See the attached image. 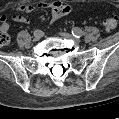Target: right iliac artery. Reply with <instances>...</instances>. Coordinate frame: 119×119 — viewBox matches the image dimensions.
<instances>
[{
	"label": "right iliac artery",
	"mask_w": 119,
	"mask_h": 119,
	"mask_svg": "<svg viewBox=\"0 0 119 119\" xmlns=\"http://www.w3.org/2000/svg\"><path fill=\"white\" fill-rule=\"evenodd\" d=\"M34 34H35L36 36H39V35L41 34V31H40L39 29H36V30L34 31Z\"/></svg>",
	"instance_id": "obj_1"
}]
</instances>
